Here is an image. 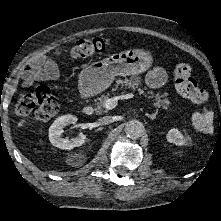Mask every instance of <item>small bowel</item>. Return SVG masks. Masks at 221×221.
Returning a JSON list of instances; mask_svg holds the SVG:
<instances>
[{
	"mask_svg": "<svg viewBox=\"0 0 221 221\" xmlns=\"http://www.w3.org/2000/svg\"><path fill=\"white\" fill-rule=\"evenodd\" d=\"M166 73L161 67L154 68L147 76V82L152 87L165 83ZM60 78L57 65L46 55H38L32 59L24 72V84L31 85L35 81H56Z\"/></svg>",
	"mask_w": 221,
	"mask_h": 221,
	"instance_id": "obj_1",
	"label": "small bowel"
}]
</instances>
